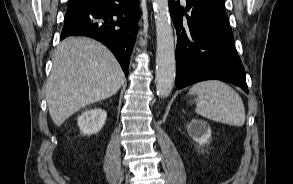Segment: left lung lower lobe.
I'll return each instance as SVG.
<instances>
[{
    "label": "left lung lower lobe",
    "mask_w": 293,
    "mask_h": 184,
    "mask_svg": "<svg viewBox=\"0 0 293 184\" xmlns=\"http://www.w3.org/2000/svg\"><path fill=\"white\" fill-rule=\"evenodd\" d=\"M186 4L169 0L177 34L176 87L219 79L248 93L224 0H186Z\"/></svg>",
    "instance_id": "0a47b994"
}]
</instances>
